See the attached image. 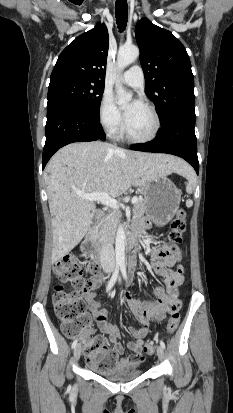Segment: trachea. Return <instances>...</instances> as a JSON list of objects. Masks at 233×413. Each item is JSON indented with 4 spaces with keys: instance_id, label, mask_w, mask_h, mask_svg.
<instances>
[{
    "instance_id": "1",
    "label": "trachea",
    "mask_w": 233,
    "mask_h": 413,
    "mask_svg": "<svg viewBox=\"0 0 233 413\" xmlns=\"http://www.w3.org/2000/svg\"><path fill=\"white\" fill-rule=\"evenodd\" d=\"M115 16L118 28L120 31H124L128 18V6L126 0H116Z\"/></svg>"
}]
</instances>
